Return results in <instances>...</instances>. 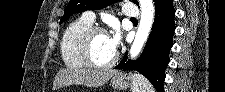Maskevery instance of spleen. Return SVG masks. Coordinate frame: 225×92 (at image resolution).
I'll return each mask as SVG.
<instances>
[{"mask_svg": "<svg viewBox=\"0 0 225 92\" xmlns=\"http://www.w3.org/2000/svg\"><path fill=\"white\" fill-rule=\"evenodd\" d=\"M132 92H155L153 86L141 74L133 75Z\"/></svg>", "mask_w": 225, "mask_h": 92, "instance_id": "3e777b00", "label": "spleen"}]
</instances>
